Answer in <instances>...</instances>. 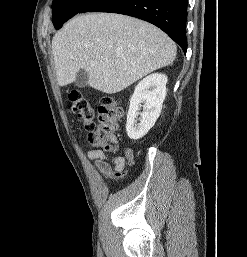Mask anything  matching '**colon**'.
<instances>
[{
	"mask_svg": "<svg viewBox=\"0 0 247 257\" xmlns=\"http://www.w3.org/2000/svg\"><path fill=\"white\" fill-rule=\"evenodd\" d=\"M68 99L72 110L89 130V142L105 151H116L118 146L113 133L119 127L122 118V109L116 100L111 96H104L95 109L91 101L77 90H72Z\"/></svg>",
	"mask_w": 247,
	"mask_h": 257,
	"instance_id": "5ec220e1",
	"label": "colon"
}]
</instances>
